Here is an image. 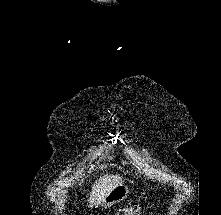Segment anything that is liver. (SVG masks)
<instances>
[{"instance_id": "obj_1", "label": "liver", "mask_w": 221, "mask_h": 215, "mask_svg": "<svg viewBox=\"0 0 221 215\" xmlns=\"http://www.w3.org/2000/svg\"><path fill=\"white\" fill-rule=\"evenodd\" d=\"M123 180L121 176L118 175H105L97 180L92 185V190L89 194L88 203L89 206L100 205L106 196L119 184H122Z\"/></svg>"}]
</instances>
